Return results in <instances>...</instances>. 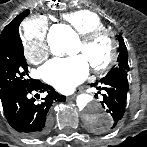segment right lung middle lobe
<instances>
[{
  "instance_id": "dd1d6c3e",
  "label": "right lung middle lobe",
  "mask_w": 147,
  "mask_h": 147,
  "mask_svg": "<svg viewBox=\"0 0 147 147\" xmlns=\"http://www.w3.org/2000/svg\"><path fill=\"white\" fill-rule=\"evenodd\" d=\"M29 14L26 10L14 18L0 35V95L30 83L27 63L19 35V25Z\"/></svg>"
}]
</instances>
